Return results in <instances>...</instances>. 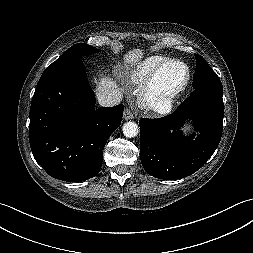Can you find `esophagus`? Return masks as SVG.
<instances>
[{"label":"esophagus","mask_w":253,"mask_h":253,"mask_svg":"<svg viewBox=\"0 0 253 253\" xmlns=\"http://www.w3.org/2000/svg\"><path fill=\"white\" fill-rule=\"evenodd\" d=\"M133 117L134 116H133L132 111L129 108L125 109V111L123 113L124 120H131V119H133Z\"/></svg>","instance_id":"obj_1"}]
</instances>
